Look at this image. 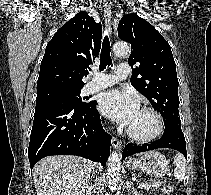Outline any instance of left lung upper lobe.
Instances as JSON below:
<instances>
[{"mask_svg": "<svg viewBox=\"0 0 211 195\" xmlns=\"http://www.w3.org/2000/svg\"><path fill=\"white\" fill-rule=\"evenodd\" d=\"M118 36L131 44L128 64L132 68L133 87L160 112L165 126L181 125L179 82L168 42L150 23L135 13L121 18Z\"/></svg>", "mask_w": 211, "mask_h": 195, "instance_id": "left-lung-upper-lobe-1", "label": "left lung upper lobe"}]
</instances>
